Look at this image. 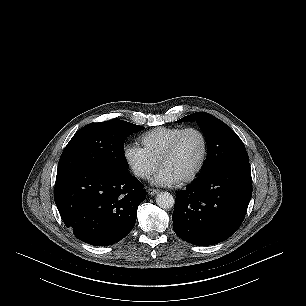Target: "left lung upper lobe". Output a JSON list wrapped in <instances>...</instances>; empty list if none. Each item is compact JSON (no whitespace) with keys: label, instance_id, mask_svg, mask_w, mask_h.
Segmentation results:
<instances>
[{"label":"left lung upper lobe","instance_id":"obj_1","mask_svg":"<svg viewBox=\"0 0 306 306\" xmlns=\"http://www.w3.org/2000/svg\"><path fill=\"white\" fill-rule=\"evenodd\" d=\"M197 121L207 143V159L198 176L216 168L249 163L245 146L238 135L224 122L204 112L185 116L177 122Z\"/></svg>","mask_w":306,"mask_h":306}]
</instances>
